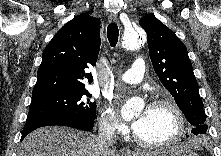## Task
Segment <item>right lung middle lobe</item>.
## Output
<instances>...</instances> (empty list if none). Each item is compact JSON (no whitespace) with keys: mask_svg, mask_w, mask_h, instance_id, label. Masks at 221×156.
<instances>
[{"mask_svg":"<svg viewBox=\"0 0 221 156\" xmlns=\"http://www.w3.org/2000/svg\"><path fill=\"white\" fill-rule=\"evenodd\" d=\"M86 90L64 91L32 99L27 121L45 119H96V103Z\"/></svg>","mask_w":221,"mask_h":156,"instance_id":"dd1d6c3e","label":"right lung middle lobe"}]
</instances>
